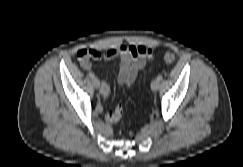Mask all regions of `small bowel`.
Segmentation results:
<instances>
[{"label": "small bowel", "mask_w": 243, "mask_h": 167, "mask_svg": "<svg viewBox=\"0 0 243 167\" xmlns=\"http://www.w3.org/2000/svg\"><path fill=\"white\" fill-rule=\"evenodd\" d=\"M152 49L141 45H120L106 51L89 49V54L84 58H78L82 68L91 69V59L111 60L116 57L120 58V72L118 81L125 87H131L134 83L138 72L143 69L152 58ZM100 95L103 100H108L110 96V86L103 82L100 88ZM122 116V107L117 106L113 111L105 113V119L109 123H115Z\"/></svg>", "instance_id": "1"}]
</instances>
